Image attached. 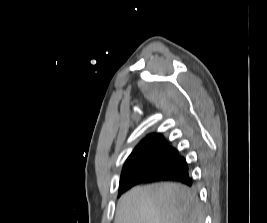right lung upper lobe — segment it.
I'll return each instance as SVG.
<instances>
[{"label":"right lung upper lobe","instance_id":"1","mask_svg":"<svg viewBox=\"0 0 267 223\" xmlns=\"http://www.w3.org/2000/svg\"><path fill=\"white\" fill-rule=\"evenodd\" d=\"M174 149L173 147H169L165 138L159 134L154 133L148 135L145 139H143L133 150L131 155L128 157L124 167L122 174L125 173V169L127 166L150 159L154 157L157 153L163 150Z\"/></svg>","mask_w":267,"mask_h":223}]
</instances>
